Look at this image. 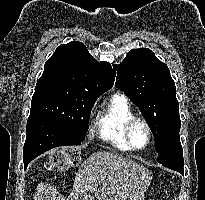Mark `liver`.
<instances>
[{
  "mask_svg": "<svg viewBox=\"0 0 205 200\" xmlns=\"http://www.w3.org/2000/svg\"><path fill=\"white\" fill-rule=\"evenodd\" d=\"M152 173L115 152L97 151L79 167L66 198L49 183H39L34 200H79L87 191L98 200H144Z\"/></svg>",
  "mask_w": 205,
  "mask_h": 200,
  "instance_id": "6515ba94",
  "label": "liver"
}]
</instances>
